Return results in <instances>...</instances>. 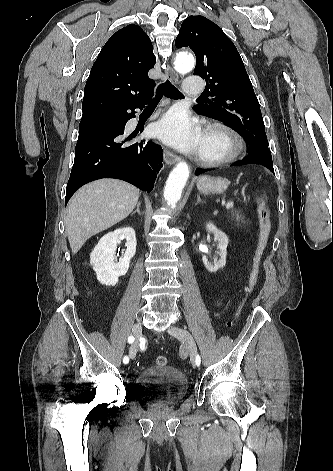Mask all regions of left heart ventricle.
<instances>
[{
	"instance_id": "left-heart-ventricle-1",
	"label": "left heart ventricle",
	"mask_w": 333,
	"mask_h": 471,
	"mask_svg": "<svg viewBox=\"0 0 333 471\" xmlns=\"http://www.w3.org/2000/svg\"><path fill=\"white\" fill-rule=\"evenodd\" d=\"M226 149L225 140L219 135H204L200 150L209 155L223 153Z\"/></svg>"
}]
</instances>
